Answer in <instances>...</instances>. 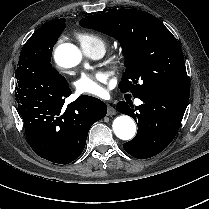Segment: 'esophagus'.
<instances>
[{"instance_id":"obj_1","label":"esophagus","mask_w":209,"mask_h":209,"mask_svg":"<svg viewBox=\"0 0 209 209\" xmlns=\"http://www.w3.org/2000/svg\"><path fill=\"white\" fill-rule=\"evenodd\" d=\"M115 114H116V109L113 106L108 105L107 115L108 116H113Z\"/></svg>"}]
</instances>
